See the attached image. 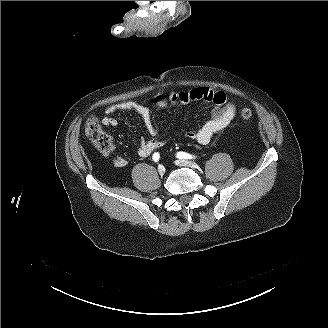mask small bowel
Here are the masks:
<instances>
[{"label": "small bowel", "instance_id": "obj_1", "mask_svg": "<svg viewBox=\"0 0 328 328\" xmlns=\"http://www.w3.org/2000/svg\"><path fill=\"white\" fill-rule=\"evenodd\" d=\"M157 97L164 98L163 101L159 102L161 106H164L168 101L184 105L193 101H200L213 106L210 119L200 128L189 130L185 134L188 139L195 140L202 145L208 144L216 133L227 128L236 114L235 105L228 101L223 92H214L205 88L190 91H170L166 95L159 94ZM118 111H130L137 114L142 119L146 131L153 136L150 139L141 140L137 151L140 157H148L165 144L162 139L155 137L158 134V128L154 122L153 113L147 106L137 101H122L109 105L105 110L106 115L101 119L102 124L106 127H116L118 121L112 115ZM104 154L108 155L109 152ZM113 164L115 167L122 168L128 164V160L123 156H117L113 159Z\"/></svg>", "mask_w": 328, "mask_h": 328}]
</instances>
